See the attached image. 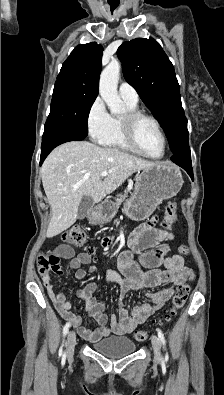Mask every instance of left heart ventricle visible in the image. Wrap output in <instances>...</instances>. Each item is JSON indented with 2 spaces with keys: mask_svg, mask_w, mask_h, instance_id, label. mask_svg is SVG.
I'll return each mask as SVG.
<instances>
[{
  "mask_svg": "<svg viewBox=\"0 0 224 395\" xmlns=\"http://www.w3.org/2000/svg\"><path fill=\"white\" fill-rule=\"evenodd\" d=\"M137 139L141 147L153 156L163 153V140L155 125L149 120H141L137 126Z\"/></svg>",
  "mask_w": 224,
  "mask_h": 395,
  "instance_id": "b2bd125f",
  "label": "left heart ventricle"
}]
</instances>
